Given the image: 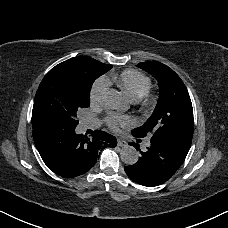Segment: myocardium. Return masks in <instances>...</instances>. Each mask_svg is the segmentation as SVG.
Segmentation results:
<instances>
[{
	"mask_svg": "<svg viewBox=\"0 0 228 228\" xmlns=\"http://www.w3.org/2000/svg\"><path fill=\"white\" fill-rule=\"evenodd\" d=\"M131 108L135 109L139 113L149 112L156 103V97L152 94H146L138 99H133L131 102Z\"/></svg>",
	"mask_w": 228,
	"mask_h": 228,
	"instance_id": "f54148a6",
	"label": "myocardium"
}]
</instances>
